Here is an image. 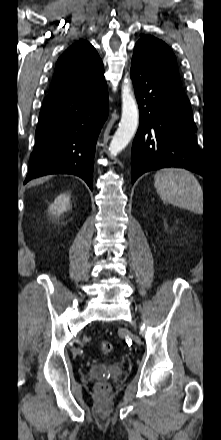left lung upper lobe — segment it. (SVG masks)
Segmentation results:
<instances>
[{
    "mask_svg": "<svg viewBox=\"0 0 221 440\" xmlns=\"http://www.w3.org/2000/svg\"><path fill=\"white\" fill-rule=\"evenodd\" d=\"M134 53L155 72L181 83L175 55L163 41L145 35L136 43Z\"/></svg>",
    "mask_w": 221,
    "mask_h": 440,
    "instance_id": "5c2ea615",
    "label": "left lung upper lobe"
}]
</instances>
